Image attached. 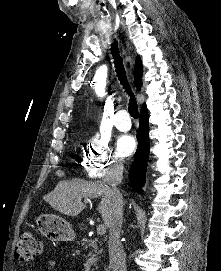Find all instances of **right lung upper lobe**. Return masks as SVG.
I'll use <instances>...</instances> for the list:
<instances>
[{"label": "right lung upper lobe", "instance_id": "1", "mask_svg": "<svg viewBox=\"0 0 221 271\" xmlns=\"http://www.w3.org/2000/svg\"><path fill=\"white\" fill-rule=\"evenodd\" d=\"M134 75H135V86L140 90L142 86V75H143V67L142 62L139 56H137L135 61V69H134ZM145 104L143 105V107Z\"/></svg>", "mask_w": 221, "mask_h": 271}]
</instances>
